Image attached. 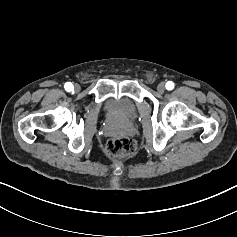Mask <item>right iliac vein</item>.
Wrapping results in <instances>:
<instances>
[{"mask_svg": "<svg viewBox=\"0 0 237 237\" xmlns=\"http://www.w3.org/2000/svg\"><path fill=\"white\" fill-rule=\"evenodd\" d=\"M74 89H75L76 92H79L80 91V86L78 84H75Z\"/></svg>", "mask_w": 237, "mask_h": 237, "instance_id": "63e3f726", "label": "right iliac vein"}]
</instances>
